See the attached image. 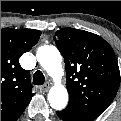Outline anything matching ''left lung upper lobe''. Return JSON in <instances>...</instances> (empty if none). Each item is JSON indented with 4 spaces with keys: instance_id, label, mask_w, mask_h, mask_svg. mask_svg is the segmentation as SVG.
Instances as JSON below:
<instances>
[{
    "instance_id": "1",
    "label": "left lung upper lobe",
    "mask_w": 121,
    "mask_h": 121,
    "mask_svg": "<svg viewBox=\"0 0 121 121\" xmlns=\"http://www.w3.org/2000/svg\"><path fill=\"white\" fill-rule=\"evenodd\" d=\"M66 65L69 92L66 113L91 121L111 104L119 88L120 72L115 53L100 36L74 28L55 33Z\"/></svg>"
}]
</instances>
